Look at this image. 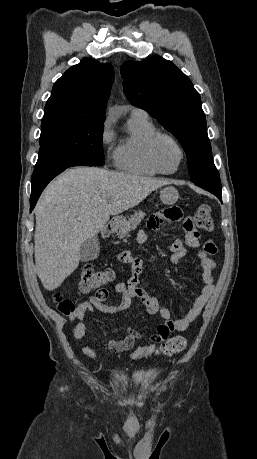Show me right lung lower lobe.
Masks as SVG:
<instances>
[{
    "instance_id": "98d812e1",
    "label": "right lung lower lobe",
    "mask_w": 257,
    "mask_h": 459,
    "mask_svg": "<svg viewBox=\"0 0 257 459\" xmlns=\"http://www.w3.org/2000/svg\"><path fill=\"white\" fill-rule=\"evenodd\" d=\"M72 166H93L84 161H68V162H60L55 163L53 165L42 167V168H35L33 175H32V189H31V198H30V211L33 210L39 196L41 195L43 189L47 186V184L58 174L63 172L65 169L72 167Z\"/></svg>"
}]
</instances>
